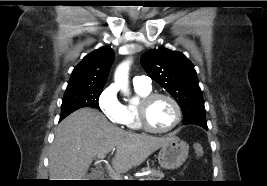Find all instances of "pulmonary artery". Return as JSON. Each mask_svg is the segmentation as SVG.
Returning <instances> with one entry per match:
<instances>
[{
  "instance_id": "obj_1",
  "label": "pulmonary artery",
  "mask_w": 267,
  "mask_h": 186,
  "mask_svg": "<svg viewBox=\"0 0 267 186\" xmlns=\"http://www.w3.org/2000/svg\"><path fill=\"white\" fill-rule=\"evenodd\" d=\"M134 86L151 88V79L147 76H136L133 79Z\"/></svg>"
}]
</instances>
